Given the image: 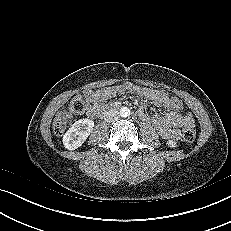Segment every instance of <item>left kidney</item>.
<instances>
[{
	"label": "left kidney",
	"instance_id": "left-kidney-1",
	"mask_svg": "<svg viewBox=\"0 0 231 231\" xmlns=\"http://www.w3.org/2000/svg\"><path fill=\"white\" fill-rule=\"evenodd\" d=\"M167 144L170 146V147H176L177 145H176V142L175 141H172V140H169L168 142H167Z\"/></svg>",
	"mask_w": 231,
	"mask_h": 231
}]
</instances>
